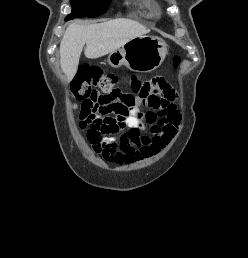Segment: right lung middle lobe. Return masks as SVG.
I'll list each match as a JSON object with an SVG mask.
<instances>
[{
  "label": "right lung middle lobe",
  "instance_id": "right-lung-middle-lobe-1",
  "mask_svg": "<svg viewBox=\"0 0 248 258\" xmlns=\"http://www.w3.org/2000/svg\"><path fill=\"white\" fill-rule=\"evenodd\" d=\"M111 0H71L72 13L65 20L78 17H96L107 11Z\"/></svg>",
  "mask_w": 248,
  "mask_h": 258
}]
</instances>
